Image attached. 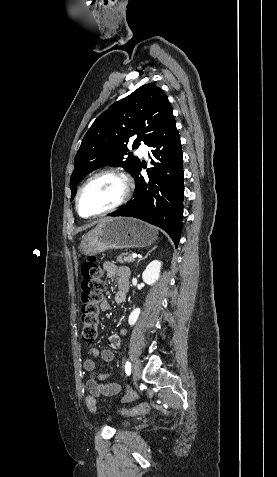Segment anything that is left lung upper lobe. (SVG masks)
I'll list each match as a JSON object with an SVG mask.
<instances>
[{"mask_svg": "<svg viewBox=\"0 0 277 477\" xmlns=\"http://www.w3.org/2000/svg\"><path fill=\"white\" fill-rule=\"evenodd\" d=\"M173 117L167 96L155 83L139 87L99 115L75 156L70 179L71 200L77 184L98 167L121 166L134 175L140 160L128 153L130 137H135L133 149L138 148L141 141L147 144Z\"/></svg>", "mask_w": 277, "mask_h": 477, "instance_id": "left-lung-upper-lobe-1", "label": "left lung upper lobe"}]
</instances>
